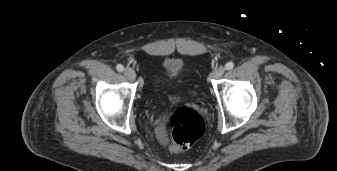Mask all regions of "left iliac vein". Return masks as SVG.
Listing matches in <instances>:
<instances>
[{
  "label": "left iliac vein",
  "instance_id": "4c4485c4",
  "mask_svg": "<svg viewBox=\"0 0 337 171\" xmlns=\"http://www.w3.org/2000/svg\"><path fill=\"white\" fill-rule=\"evenodd\" d=\"M225 72V68L224 67H219L216 68L209 76V79H217L220 78Z\"/></svg>",
  "mask_w": 337,
  "mask_h": 171
}]
</instances>
